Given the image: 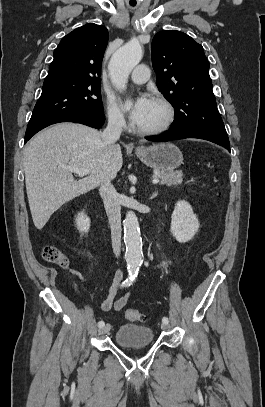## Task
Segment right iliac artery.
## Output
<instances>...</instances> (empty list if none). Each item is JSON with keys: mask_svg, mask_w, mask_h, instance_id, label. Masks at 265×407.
I'll use <instances>...</instances> for the list:
<instances>
[{"mask_svg": "<svg viewBox=\"0 0 265 407\" xmlns=\"http://www.w3.org/2000/svg\"><path fill=\"white\" fill-rule=\"evenodd\" d=\"M131 285V280H125L122 284V286H130ZM105 325L104 321H99L98 322V327L102 328Z\"/></svg>", "mask_w": 265, "mask_h": 407, "instance_id": "1", "label": "right iliac artery"}]
</instances>
